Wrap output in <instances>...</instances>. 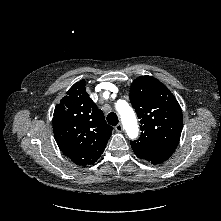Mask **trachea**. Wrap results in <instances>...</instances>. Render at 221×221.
Returning a JSON list of instances; mask_svg holds the SVG:
<instances>
[{
    "instance_id": "1",
    "label": "trachea",
    "mask_w": 221,
    "mask_h": 221,
    "mask_svg": "<svg viewBox=\"0 0 221 221\" xmlns=\"http://www.w3.org/2000/svg\"><path fill=\"white\" fill-rule=\"evenodd\" d=\"M107 122L112 125L116 126L118 124V116L116 113L111 112L107 115Z\"/></svg>"
}]
</instances>
